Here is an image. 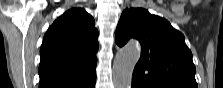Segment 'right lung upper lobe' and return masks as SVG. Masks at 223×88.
I'll list each match as a JSON object with an SVG mask.
<instances>
[{"label":"right lung upper lobe","instance_id":"cb5924a9","mask_svg":"<svg viewBox=\"0 0 223 88\" xmlns=\"http://www.w3.org/2000/svg\"><path fill=\"white\" fill-rule=\"evenodd\" d=\"M98 32L84 9L73 8L47 30L40 49L39 88H87L96 79Z\"/></svg>","mask_w":223,"mask_h":88}]
</instances>
